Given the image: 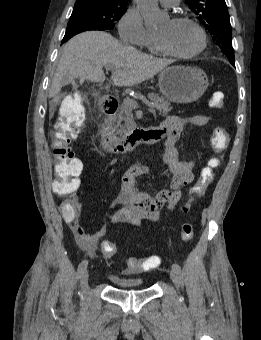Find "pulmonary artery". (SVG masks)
Here are the masks:
<instances>
[{
  "instance_id": "obj_1",
  "label": "pulmonary artery",
  "mask_w": 261,
  "mask_h": 340,
  "mask_svg": "<svg viewBox=\"0 0 261 340\" xmlns=\"http://www.w3.org/2000/svg\"><path fill=\"white\" fill-rule=\"evenodd\" d=\"M180 0H160L161 4L164 6H175L179 3Z\"/></svg>"
}]
</instances>
